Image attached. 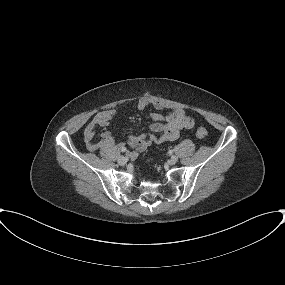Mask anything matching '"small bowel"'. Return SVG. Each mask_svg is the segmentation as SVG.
<instances>
[{
  "instance_id": "c3829d8e",
  "label": "small bowel",
  "mask_w": 285,
  "mask_h": 285,
  "mask_svg": "<svg viewBox=\"0 0 285 285\" xmlns=\"http://www.w3.org/2000/svg\"><path fill=\"white\" fill-rule=\"evenodd\" d=\"M153 106L157 110H164L165 104L158 100H152L143 97L138 102V109L144 110ZM115 110L107 109L98 112L93 119L87 124L84 130V140L88 150L97 151L102 148L118 147L120 150L125 149L124 144L115 145L114 138L109 131L101 133V139L95 141L96 129L106 127L115 117ZM152 122L149 125V133L141 135H130L127 138V145L132 149L131 155L136 156L138 153L146 150L153 143H164L174 141L179 137L181 130L191 129L194 126L192 118L187 116L181 109H175L162 115L159 113H149Z\"/></svg>"
}]
</instances>
